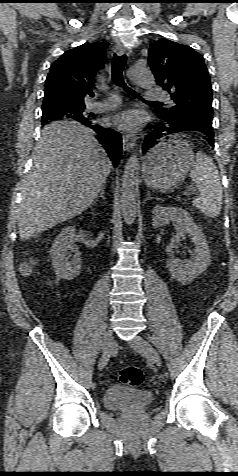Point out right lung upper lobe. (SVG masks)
Returning a JSON list of instances; mask_svg holds the SVG:
<instances>
[{"label": "right lung upper lobe", "instance_id": "cb5924a9", "mask_svg": "<svg viewBox=\"0 0 238 476\" xmlns=\"http://www.w3.org/2000/svg\"><path fill=\"white\" fill-rule=\"evenodd\" d=\"M109 43H85L66 51L50 67L45 81L44 102L84 105L97 72L104 67Z\"/></svg>", "mask_w": 238, "mask_h": 476}]
</instances>
